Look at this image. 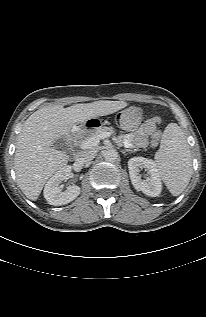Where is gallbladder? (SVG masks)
<instances>
[{"instance_id": "bac80fb5", "label": "gallbladder", "mask_w": 206, "mask_h": 317, "mask_svg": "<svg viewBox=\"0 0 206 317\" xmlns=\"http://www.w3.org/2000/svg\"><path fill=\"white\" fill-rule=\"evenodd\" d=\"M52 147L63 152H68L69 150V146L64 138H59L55 140Z\"/></svg>"}]
</instances>
